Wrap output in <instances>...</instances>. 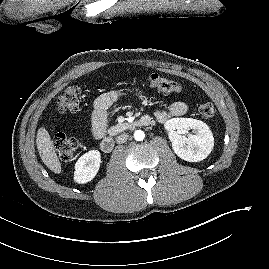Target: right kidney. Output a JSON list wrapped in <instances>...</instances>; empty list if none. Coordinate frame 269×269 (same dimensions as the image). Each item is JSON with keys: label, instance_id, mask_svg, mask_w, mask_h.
<instances>
[{"label": "right kidney", "instance_id": "obj_1", "mask_svg": "<svg viewBox=\"0 0 269 269\" xmlns=\"http://www.w3.org/2000/svg\"><path fill=\"white\" fill-rule=\"evenodd\" d=\"M101 154L98 150H91L83 154L75 164L74 181L84 184L91 181L99 171Z\"/></svg>", "mask_w": 269, "mask_h": 269}]
</instances>
